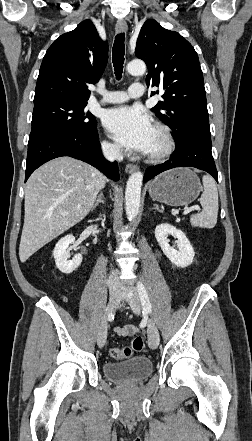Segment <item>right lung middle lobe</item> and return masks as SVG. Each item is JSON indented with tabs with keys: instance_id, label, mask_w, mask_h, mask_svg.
<instances>
[{
	"instance_id": "right-lung-middle-lobe-1",
	"label": "right lung middle lobe",
	"mask_w": 252,
	"mask_h": 441,
	"mask_svg": "<svg viewBox=\"0 0 252 441\" xmlns=\"http://www.w3.org/2000/svg\"><path fill=\"white\" fill-rule=\"evenodd\" d=\"M86 104L66 100L34 104L31 133L40 130H88L96 125V120L93 114L84 111Z\"/></svg>"
}]
</instances>
